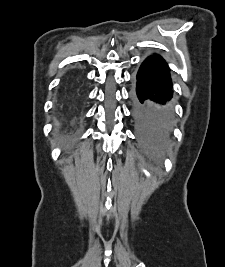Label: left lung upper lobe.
I'll return each instance as SVG.
<instances>
[{"instance_id":"5c2ea615","label":"left lung upper lobe","mask_w":225,"mask_h":267,"mask_svg":"<svg viewBox=\"0 0 225 267\" xmlns=\"http://www.w3.org/2000/svg\"><path fill=\"white\" fill-rule=\"evenodd\" d=\"M135 117L138 127L143 134L164 135L171 130V127L154 123L152 117L148 114V111L144 106H136Z\"/></svg>"}]
</instances>
